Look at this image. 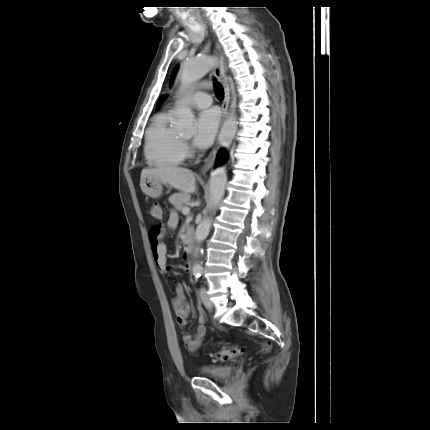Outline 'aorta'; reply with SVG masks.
<instances>
[{
	"label": "aorta",
	"mask_w": 430,
	"mask_h": 430,
	"mask_svg": "<svg viewBox=\"0 0 430 430\" xmlns=\"http://www.w3.org/2000/svg\"><path fill=\"white\" fill-rule=\"evenodd\" d=\"M216 59L212 56L194 57L183 61L180 67L181 88L187 90L192 84L204 77L215 65ZM177 116L176 128L179 132L187 134L193 132L195 116L190 107L178 103L175 108ZM237 131V118L230 115L220 130L218 137L222 147L228 148ZM227 182L226 169L223 166L217 167L210 177V211H215L225 194V184ZM212 224V218L207 216L201 220L195 231V242L200 245L208 236ZM198 248L195 249L194 258H197ZM193 272L202 270L199 261L195 260L192 266Z\"/></svg>",
	"instance_id": "762f6f07"
}]
</instances>
